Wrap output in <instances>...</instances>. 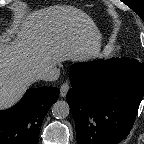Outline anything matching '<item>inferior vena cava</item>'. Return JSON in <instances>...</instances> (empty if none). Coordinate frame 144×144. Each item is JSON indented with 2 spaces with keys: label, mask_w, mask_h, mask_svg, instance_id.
Segmentation results:
<instances>
[{
  "label": "inferior vena cava",
  "mask_w": 144,
  "mask_h": 144,
  "mask_svg": "<svg viewBox=\"0 0 144 144\" xmlns=\"http://www.w3.org/2000/svg\"><path fill=\"white\" fill-rule=\"evenodd\" d=\"M60 76V69L56 67L47 68L41 75V79L45 81H55Z\"/></svg>",
  "instance_id": "1"
}]
</instances>
